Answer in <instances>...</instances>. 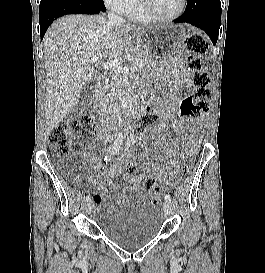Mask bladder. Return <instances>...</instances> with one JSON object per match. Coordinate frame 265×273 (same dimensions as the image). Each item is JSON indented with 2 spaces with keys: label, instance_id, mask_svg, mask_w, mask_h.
Segmentation results:
<instances>
[{
  "label": "bladder",
  "instance_id": "obj_1",
  "mask_svg": "<svg viewBox=\"0 0 265 273\" xmlns=\"http://www.w3.org/2000/svg\"><path fill=\"white\" fill-rule=\"evenodd\" d=\"M164 217L159 208L148 203L123 207L99 222L101 232L125 248L140 247L156 238Z\"/></svg>",
  "mask_w": 265,
  "mask_h": 273
}]
</instances>
